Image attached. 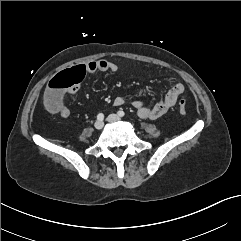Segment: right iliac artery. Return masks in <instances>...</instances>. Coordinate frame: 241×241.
Instances as JSON below:
<instances>
[{"instance_id": "obj_1", "label": "right iliac artery", "mask_w": 241, "mask_h": 241, "mask_svg": "<svg viewBox=\"0 0 241 241\" xmlns=\"http://www.w3.org/2000/svg\"><path fill=\"white\" fill-rule=\"evenodd\" d=\"M97 119H98L99 121H102V120L104 119V114H103V113H99V114L97 115Z\"/></svg>"}]
</instances>
